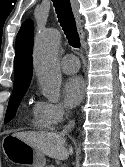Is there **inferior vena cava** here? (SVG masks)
Listing matches in <instances>:
<instances>
[{
    "mask_svg": "<svg viewBox=\"0 0 125 167\" xmlns=\"http://www.w3.org/2000/svg\"><path fill=\"white\" fill-rule=\"evenodd\" d=\"M74 125H75L74 121H69L68 125L64 127L62 134H65L68 131H70L74 127Z\"/></svg>",
    "mask_w": 125,
    "mask_h": 167,
    "instance_id": "obj_1",
    "label": "inferior vena cava"
}]
</instances>
